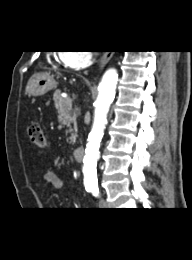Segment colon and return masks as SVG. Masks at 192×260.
<instances>
[{
	"label": "colon",
	"mask_w": 192,
	"mask_h": 260,
	"mask_svg": "<svg viewBox=\"0 0 192 260\" xmlns=\"http://www.w3.org/2000/svg\"><path fill=\"white\" fill-rule=\"evenodd\" d=\"M30 143L38 148L43 149L47 146V137L42 127L37 123H30L27 127Z\"/></svg>",
	"instance_id": "obj_1"
}]
</instances>
